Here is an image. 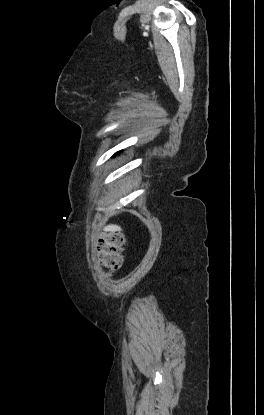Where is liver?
I'll return each instance as SVG.
<instances>
[{
	"label": "liver",
	"mask_w": 264,
	"mask_h": 415,
	"mask_svg": "<svg viewBox=\"0 0 264 415\" xmlns=\"http://www.w3.org/2000/svg\"><path fill=\"white\" fill-rule=\"evenodd\" d=\"M105 229L108 230V231H111V232L120 231L121 230L120 226L114 225V224H111V225L106 226Z\"/></svg>",
	"instance_id": "6515ba94"
}]
</instances>
